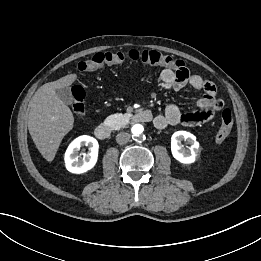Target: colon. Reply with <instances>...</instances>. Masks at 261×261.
Listing matches in <instances>:
<instances>
[{
  "instance_id": "1",
  "label": "colon",
  "mask_w": 261,
  "mask_h": 261,
  "mask_svg": "<svg viewBox=\"0 0 261 261\" xmlns=\"http://www.w3.org/2000/svg\"><path fill=\"white\" fill-rule=\"evenodd\" d=\"M141 62L145 65L151 66H165L173 68L175 70H181L184 68V63L181 60L175 59L172 56L162 54L155 50H130L127 52H98L90 58L81 61L78 64V68L82 72H94L104 65H117L124 62ZM72 107L78 114L82 115L84 112V97L85 91L81 86H74L72 88ZM233 126V114L230 109H225L221 115V126L215 136V142L217 144L223 143L229 136Z\"/></svg>"
}]
</instances>
